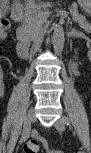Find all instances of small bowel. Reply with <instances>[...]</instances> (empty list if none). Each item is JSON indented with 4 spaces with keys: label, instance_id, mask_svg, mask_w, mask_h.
Instances as JSON below:
<instances>
[{
    "label": "small bowel",
    "instance_id": "1",
    "mask_svg": "<svg viewBox=\"0 0 91 153\" xmlns=\"http://www.w3.org/2000/svg\"><path fill=\"white\" fill-rule=\"evenodd\" d=\"M6 35H7L6 30L4 28H1V30H0V37L4 38V37H6ZM35 139H42V138L40 136H36Z\"/></svg>",
    "mask_w": 91,
    "mask_h": 153
}]
</instances>
